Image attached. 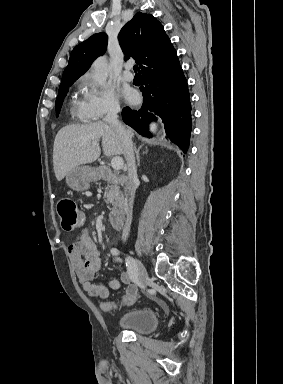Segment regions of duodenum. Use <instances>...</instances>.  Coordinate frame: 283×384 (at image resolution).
<instances>
[{"label": "duodenum", "instance_id": "1", "mask_svg": "<svg viewBox=\"0 0 283 384\" xmlns=\"http://www.w3.org/2000/svg\"><path fill=\"white\" fill-rule=\"evenodd\" d=\"M96 174L99 178L110 179L116 183L128 184L129 178L127 176H115L113 172L107 167L96 169ZM110 221L115 229H121L125 223V208L119 207L110 213Z\"/></svg>", "mask_w": 283, "mask_h": 384}]
</instances>
